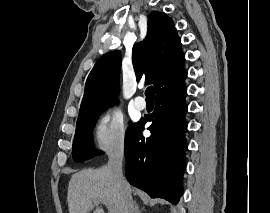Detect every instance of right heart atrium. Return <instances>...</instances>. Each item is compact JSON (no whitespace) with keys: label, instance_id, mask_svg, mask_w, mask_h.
Instances as JSON below:
<instances>
[{"label":"right heart atrium","instance_id":"right-heart-atrium-1","mask_svg":"<svg viewBox=\"0 0 270 213\" xmlns=\"http://www.w3.org/2000/svg\"><path fill=\"white\" fill-rule=\"evenodd\" d=\"M93 142L103 154H119L126 148V133L122 114L113 108L104 110L93 128Z\"/></svg>","mask_w":270,"mask_h":213}]
</instances>
